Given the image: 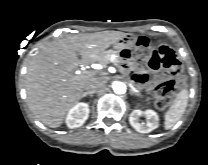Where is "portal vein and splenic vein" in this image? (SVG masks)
<instances>
[{"label":"portal vein and splenic vein","mask_w":208,"mask_h":165,"mask_svg":"<svg viewBox=\"0 0 208 165\" xmlns=\"http://www.w3.org/2000/svg\"><path fill=\"white\" fill-rule=\"evenodd\" d=\"M84 73H85L86 75H88V76L93 75V73H92V72H90V71H85Z\"/></svg>","instance_id":"1"}]
</instances>
